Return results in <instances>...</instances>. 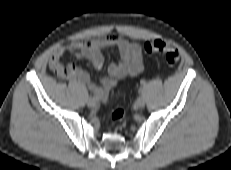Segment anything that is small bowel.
I'll list each match as a JSON object with an SVG mask.
<instances>
[{
	"label": "small bowel",
	"mask_w": 231,
	"mask_h": 170,
	"mask_svg": "<svg viewBox=\"0 0 231 170\" xmlns=\"http://www.w3.org/2000/svg\"><path fill=\"white\" fill-rule=\"evenodd\" d=\"M115 46L118 48L120 60L111 63L107 69V76L101 77L98 83L91 82L90 75L76 66H70L69 78L88 87L98 100L107 103L109 92L120 81L135 77L142 72L144 60L142 48L135 42L128 41L118 35H111L88 41H76L54 50L50 59L49 67L58 71L64 67L62 57L70 53L77 58L88 60L95 69H101L104 64L103 49Z\"/></svg>",
	"instance_id": "1"
}]
</instances>
